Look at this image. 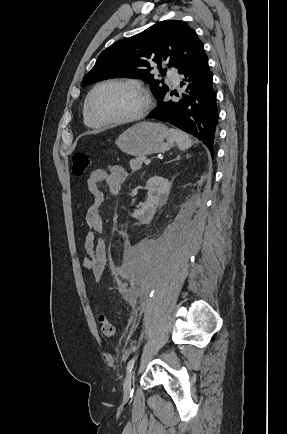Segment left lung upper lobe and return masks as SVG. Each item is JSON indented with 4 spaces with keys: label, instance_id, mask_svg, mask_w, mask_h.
I'll return each instance as SVG.
<instances>
[{
    "label": "left lung upper lobe",
    "instance_id": "5c2ea615",
    "mask_svg": "<svg viewBox=\"0 0 287 434\" xmlns=\"http://www.w3.org/2000/svg\"><path fill=\"white\" fill-rule=\"evenodd\" d=\"M203 53V43L193 29L180 20H164L104 50L84 77L83 86L114 77L144 78L159 100L168 87L150 75V64L156 63L164 75L166 70H161L163 63L179 70Z\"/></svg>",
    "mask_w": 287,
    "mask_h": 434
}]
</instances>
